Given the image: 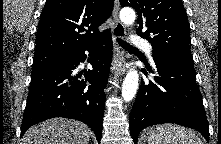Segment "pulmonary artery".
<instances>
[{"label":"pulmonary artery","mask_w":221,"mask_h":144,"mask_svg":"<svg viewBox=\"0 0 221 144\" xmlns=\"http://www.w3.org/2000/svg\"><path fill=\"white\" fill-rule=\"evenodd\" d=\"M131 43L136 47L144 49L150 59H152V45L148 41L137 35H133L131 37Z\"/></svg>","instance_id":"1"}]
</instances>
